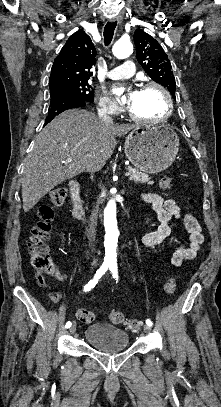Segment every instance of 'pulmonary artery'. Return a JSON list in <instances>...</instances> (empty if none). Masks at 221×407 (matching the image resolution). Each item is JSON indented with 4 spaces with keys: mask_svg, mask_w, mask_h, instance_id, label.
<instances>
[{
    "mask_svg": "<svg viewBox=\"0 0 221 407\" xmlns=\"http://www.w3.org/2000/svg\"><path fill=\"white\" fill-rule=\"evenodd\" d=\"M135 70V65L130 59H125L122 65L111 69L107 73V77L110 79H119L130 77Z\"/></svg>",
    "mask_w": 221,
    "mask_h": 407,
    "instance_id": "pulmonary-artery-1",
    "label": "pulmonary artery"
}]
</instances>
